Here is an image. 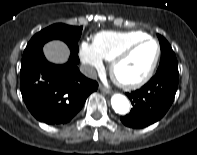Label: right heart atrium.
<instances>
[{"label": "right heart atrium", "mask_w": 197, "mask_h": 155, "mask_svg": "<svg viewBox=\"0 0 197 155\" xmlns=\"http://www.w3.org/2000/svg\"><path fill=\"white\" fill-rule=\"evenodd\" d=\"M79 55L86 65L88 74H91L94 69L100 70L103 67V60L92 44L83 41L80 45Z\"/></svg>", "instance_id": "1"}]
</instances>
